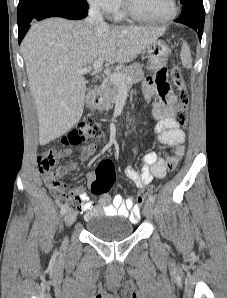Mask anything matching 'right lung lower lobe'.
Listing matches in <instances>:
<instances>
[{
    "label": "right lung lower lobe",
    "instance_id": "right-lung-lower-lobe-1",
    "mask_svg": "<svg viewBox=\"0 0 227 298\" xmlns=\"http://www.w3.org/2000/svg\"><path fill=\"white\" fill-rule=\"evenodd\" d=\"M87 9L62 2H46L37 5L17 16L19 44L29 30L31 23L48 17H63L71 20H80L87 16Z\"/></svg>",
    "mask_w": 227,
    "mask_h": 298
}]
</instances>
